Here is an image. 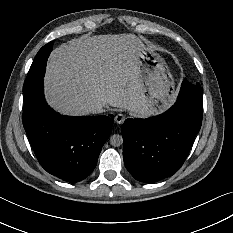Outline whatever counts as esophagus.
<instances>
[{"instance_id": "obj_1", "label": "esophagus", "mask_w": 233, "mask_h": 233, "mask_svg": "<svg viewBox=\"0 0 233 233\" xmlns=\"http://www.w3.org/2000/svg\"><path fill=\"white\" fill-rule=\"evenodd\" d=\"M125 119H126V116L124 114H117L116 117H115V121L118 124H123Z\"/></svg>"}]
</instances>
